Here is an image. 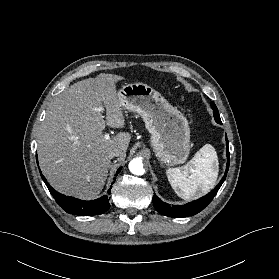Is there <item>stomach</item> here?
I'll list each match as a JSON object with an SVG mask.
<instances>
[{
	"mask_svg": "<svg viewBox=\"0 0 279 279\" xmlns=\"http://www.w3.org/2000/svg\"><path fill=\"white\" fill-rule=\"evenodd\" d=\"M123 108L138 113L149 133L156 157L164 164L184 163L190 152L186 117L158 91L144 83L124 85L118 91Z\"/></svg>",
	"mask_w": 279,
	"mask_h": 279,
	"instance_id": "obj_1",
	"label": "stomach"
}]
</instances>
